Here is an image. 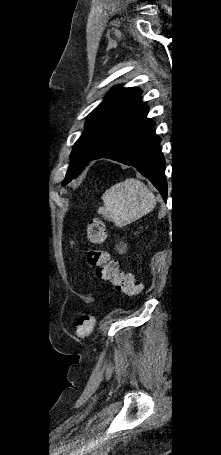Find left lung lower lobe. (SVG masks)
I'll return each instance as SVG.
<instances>
[{
	"instance_id": "left-lung-lower-lobe-1",
	"label": "left lung lower lobe",
	"mask_w": 221,
	"mask_h": 455,
	"mask_svg": "<svg viewBox=\"0 0 221 455\" xmlns=\"http://www.w3.org/2000/svg\"><path fill=\"white\" fill-rule=\"evenodd\" d=\"M155 124L146 116L109 141L93 160L108 158L135 167L167 199L165 159L160 151V137L154 135Z\"/></svg>"
}]
</instances>
